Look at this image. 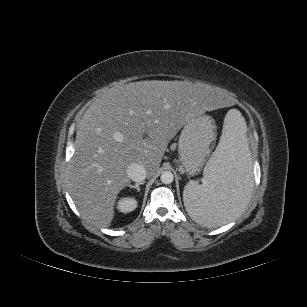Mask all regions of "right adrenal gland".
Instances as JSON below:
<instances>
[{"label":"right adrenal gland","mask_w":307,"mask_h":307,"mask_svg":"<svg viewBox=\"0 0 307 307\" xmlns=\"http://www.w3.org/2000/svg\"><path fill=\"white\" fill-rule=\"evenodd\" d=\"M142 184H144V182H139V183H136L135 185L128 184V187L134 188V189H136L138 192H140L139 186L142 185Z\"/></svg>","instance_id":"1"}]
</instances>
